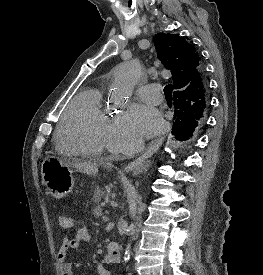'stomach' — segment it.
Wrapping results in <instances>:
<instances>
[{
    "instance_id": "stomach-1",
    "label": "stomach",
    "mask_w": 263,
    "mask_h": 275,
    "mask_svg": "<svg viewBox=\"0 0 263 275\" xmlns=\"http://www.w3.org/2000/svg\"><path fill=\"white\" fill-rule=\"evenodd\" d=\"M73 172L72 166L54 156L46 157L41 165L42 181L48 192L57 199L73 191Z\"/></svg>"
}]
</instances>
